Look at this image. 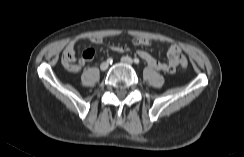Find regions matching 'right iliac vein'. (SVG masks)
I'll list each match as a JSON object with an SVG mask.
<instances>
[{
    "label": "right iliac vein",
    "instance_id": "right-iliac-vein-1",
    "mask_svg": "<svg viewBox=\"0 0 244 157\" xmlns=\"http://www.w3.org/2000/svg\"><path fill=\"white\" fill-rule=\"evenodd\" d=\"M108 67H109L108 62H103V63H101V65H100V69H101L102 71L107 70Z\"/></svg>",
    "mask_w": 244,
    "mask_h": 157
}]
</instances>
